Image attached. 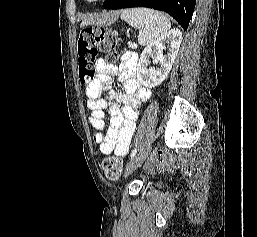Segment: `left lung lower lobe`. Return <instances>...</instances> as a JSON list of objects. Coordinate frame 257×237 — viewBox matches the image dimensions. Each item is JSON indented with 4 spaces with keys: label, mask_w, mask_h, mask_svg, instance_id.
<instances>
[{
    "label": "left lung lower lobe",
    "mask_w": 257,
    "mask_h": 237,
    "mask_svg": "<svg viewBox=\"0 0 257 237\" xmlns=\"http://www.w3.org/2000/svg\"><path fill=\"white\" fill-rule=\"evenodd\" d=\"M196 0H107L105 9L116 10L131 7H147L170 14L184 30L188 28Z\"/></svg>",
    "instance_id": "0a47b994"
}]
</instances>
